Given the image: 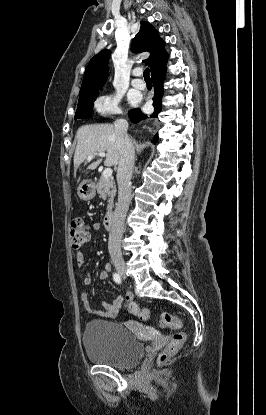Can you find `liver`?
Instances as JSON below:
<instances>
[{"instance_id": "6515ba94", "label": "liver", "mask_w": 266, "mask_h": 415, "mask_svg": "<svg viewBox=\"0 0 266 415\" xmlns=\"http://www.w3.org/2000/svg\"><path fill=\"white\" fill-rule=\"evenodd\" d=\"M77 146L74 154V170L80 168V165L89 155L100 151H106V166H117L120 159V151L117 145L115 127L112 124H92L81 126L76 133ZM101 160L89 165V170H94L100 164Z\"/></svg>"}]
</instances>
